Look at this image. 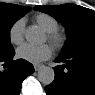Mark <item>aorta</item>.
<instances>
[{"mask_svg": "<svg viewBox=\"0 0 95 95\" xmlns=\"http://www.w3.org/2000/svg\"><path fill=\"white\" fill-rule=\"evenodd\" d=\"M25 38L29 42H36L39 40V33L35 28L30 27L25 32ZM54 78V70L50 67L43 66L38 71V79L44 85H50L54 81Z\"/></svg>", "mask_w": 95, "mask_h": 95, "instance_id": "1", "label": "aorta"}]
</instances>
